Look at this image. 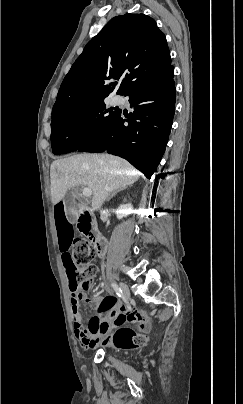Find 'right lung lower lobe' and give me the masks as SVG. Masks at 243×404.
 Listing matches in <instances>:
<instances>
[{
    "label": "right lung lower lobe",
    "mask_w": 243,
    "mask_h": 404,
    "mask_svg": "<svg viewBox=\"0 0 243 404\" xmlns=\"http://www.w3.org/2000/svg\"><path fill=\"white\" fill-rule=\"evenodd\" d=\"M171 65L159 76L132 88L129 96L134 112L117 116L79 152H104L127 159L150 179L164 154L173 122L176 88ZM128 122V126H124Z\"/></svg>",
    "instance_id": "98d812e1"
}]
</instances>
